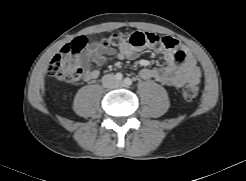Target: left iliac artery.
Segmentation results:
<instances>
[{
    "instance_id": "obj_1",
    "label": "left iliac artery",
    "mask_w": 246,
    "mask_h": 181,
    "mask_svg": "<svg viewBox=\"0 0 246 181\" xmlns=\"http://www.w3.org/2000/svg\"><path fill=\"white\" fill-rule=\"evenodd\" d=\"M124 84H125L126 86H130V85H132V80H131L130 78H125V79H124Z\"/></svg>"
}]
</instances>
